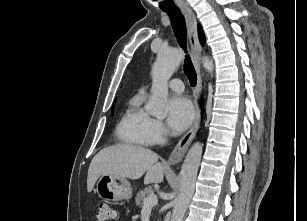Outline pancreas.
<instances>
[{"label": "pancreas", "mask_w": 307, "mask_h": 221, "mask_svg": "<svg viewBox=\"0 0 307 221\" xmlns=\"http://www.w3.org/2000/svg\"><path fill=\"white\" fill-rule=\"evenodd\" d=\"M152 193H153V190L151 188H144L143 190H140L135 198L136 205L139 207H142L147 196Z\"/></svg>", "instance_id": "1"}]
</instances>
